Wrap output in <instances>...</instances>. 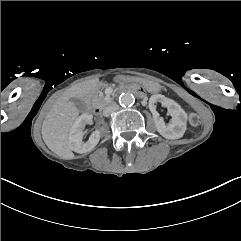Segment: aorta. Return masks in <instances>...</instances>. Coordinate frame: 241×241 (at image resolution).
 Wrapping results in <instances>:
<instances>
[{
    "label": "aorta",
    "mask_w": 241,
    "mask_h": 241,
    "mask_svg": "<svg viewBox=\"0 0 241 241\" xmlns=\"http://www.w3.org/2000/svg\"><path fill=\"white\" fill-rule=\"evenodd\" d=\"M135 98L131 93H122L119 96V103L121 106H132L134 104Z\"/></svg>",
    "instance_id": "762f6f07"
}]
</instances>
